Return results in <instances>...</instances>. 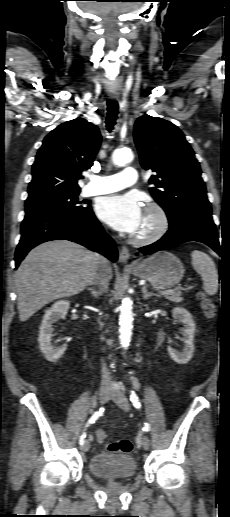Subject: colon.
I'll return each instance as SVG.
<instances>
[{"label":"colon","instance_id":"1","mask_svg":"<svg viewBox=\"0 0 230 517\" xmlns=\"http://www.w3.org/2000/svg\"><path fill=\"white\" fill-rule=\"evenodd\" d=\"M202 310L208 319H213L216 316V306L213 300L208 298L205 294L199 293L198 295ZM97 440L106 449L116 453H129L132 450V443L128 439H122L118 441H107L106 434L103 430L97 432Z\"/></svg>","mask_w":230,"mask_h":517}]
</instances>
